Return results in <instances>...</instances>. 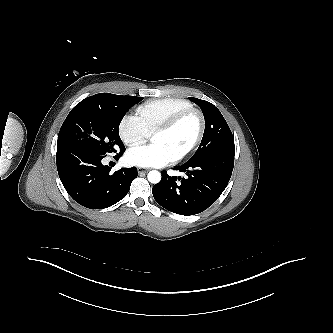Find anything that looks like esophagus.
<instances>
[{"label":"esophagus","instance_id":"obj_1","mask_svg":"<svg viewBox=\"0 0 333 333\" xmlns=\"http://www.w3.org/2000/svg\"><path fill=\"white\" fill-rule=\"evenodd\" d=\"M148 172V170H146V169H142V168H138V173L141 175V174H145V173H147Z\"/></svg>","mask_w":333,"mask_h":333}]
</instances>
